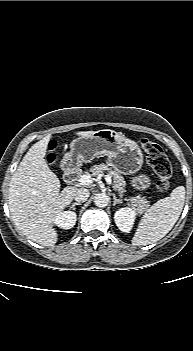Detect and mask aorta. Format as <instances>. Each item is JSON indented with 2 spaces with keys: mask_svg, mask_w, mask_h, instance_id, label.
I'll use <instances>...</instances> for the list:
<instances>
[{
  "mask_svg": "<svg viewBox=\"0 0 193 351\" xmlns=\"http://www.w3.org/2000/svg\"><path fill=\"white\" fill-rule=\"evenodd\" d=\"M94 203L97 207L104 208L109 203V198L105 193H98L94 198Z\"/></svg>",
  "mask_w": 193,
  "mask_h": 351,
  "instance_id": "aorta-1",
  "label": "aorta"
}]
</instances>
